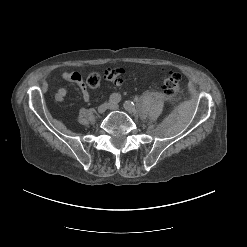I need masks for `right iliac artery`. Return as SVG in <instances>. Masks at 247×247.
Here are the masks:
<instances>
[{
    "instance_id": "right-iliac-artery-1",
    "label": "right iliac artery",
    "mask_w": 247,
    "mask_h": 247,
    "mask_svg": "<svg viewBox=\"0 0 247 247\" xmlns=\"http://www.w3.org/2000/svg\"><path fill=\"white\" fill-rule=\"evenodd\" d=\"M109 101L111 103H119L121 101V96L118 93H113L110 97H109Z\"/></svg>"
}]
</instances>
